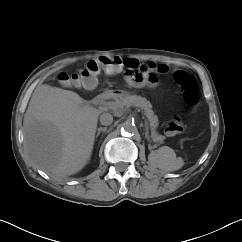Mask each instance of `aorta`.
<instances>
[{
	"label": "aorta",
	"mask_w": 242,
	"mask_h": 242,
	"mask_svg": "<svg viewBox=\"0 0 242 242\" xmlns=\"http://www.w3.org/2000/svg\"><path fill=\"white\" fill-rule=\"evenodd\" d=\"M122 130L125 131L126 133L134 134L137 132V127L133 122L126 121L123 124Z\"/></svg>",
	"instance_id": "obj_1"
}]
</instances>
